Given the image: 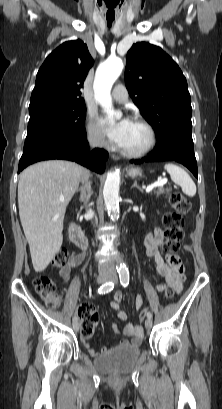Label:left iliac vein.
Segmentation results:
<instances>
[{
	"label": "left iliac vein",
	"mask_w": 222,
	"mask_h": 409,
	"mask_svg": "<svg viewBox=\"0 0 222 409\" xmlns=\"http://www.w3.org/2000/svg\"><path fill=\"white\" fill-rule=\"evenodd\" d=\"M110 280L116 282V281H117V278H116L115 276H112V277L110 278ZM152 325H153L152 320H151L150 318H148V319L145 321V328H146V329H151Z\"/></svg>",
	"instance_id": "obj_1"
}]
</instances>
